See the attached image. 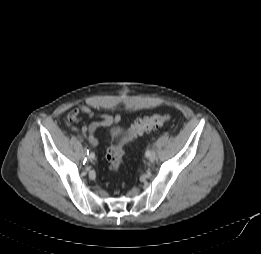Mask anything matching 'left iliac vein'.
<instances>
[{"label": "left iliac vein", "mask_w": 261, "mask_h": 254, "mask_svg": "<svg viewBox=\"0 0 261 254\" xmlns=\"http://www.w3.org/2000/svg\"><path fill=\"white\" fill-rule=\"evenodd\" d=\"M156 160V154L152 153L151 157H149L150 162H154Z\"/></svg>", "instance_id": "4c4485c4"}]
</instances>
